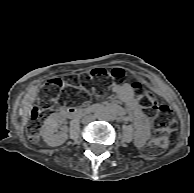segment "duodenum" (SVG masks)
I'll return each mask as SVG.
<instances>
[{"label":"duodenum","instance_id":"obj_1","mask_svg":"<svg viewBox=\"0 0 194 193\" xmlns=\"http://www.w3.org/2000/svg\"><path fill=\"white\" fill-rule=\"evenodd\" d=\"M91 111L95 112L96 109L92 108ZM63 113L69 117H78L84 113V110L76 108V107H67L63 110Z\"/></svg>","mask_w":194,"mask_h":193}]
</instances>
